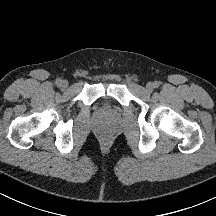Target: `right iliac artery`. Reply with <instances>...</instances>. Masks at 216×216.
Segmentation results:
<instances>
[{
	"label": "right iliac artery",
	"instance_id": "82829eb1",
	"mask_svg": "<svg viewBox=\"0 0 216 216\" xmlns=\"http://www.w3.org/2000/svg\"><path fill=\"white\" fill-rule=\"evenodd\" d=\"M61 81H62L61 79H57V80H56V84H57V85H60Z\"/></svg>",
	"mask_w": 216,
	"mask_h": 216
}]
</instances>
